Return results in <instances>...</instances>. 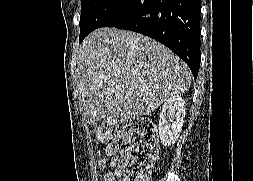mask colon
<instances>
[{
	"label": "colon",
	"mask_w": 253,
	"mask_h": 181,
	"mask_svg": "<svg viewBox=\"0 0 253 181\" xmlns=\"http://www.w3.org/2000/svg\"><path fill=\"white\" fill-rule=\"evenodd\" d=\"M153 123L147 119L113 121L100 131V138L114 150L113 142L121 138L122 160L106 181H149L158 145Z\"/></svg>",
	"instance_id": "obj_1"
}]
</instances>
